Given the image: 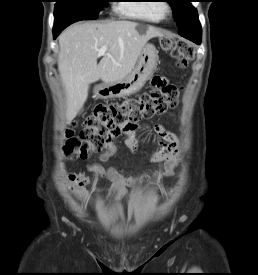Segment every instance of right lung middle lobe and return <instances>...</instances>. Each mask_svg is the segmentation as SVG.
<instances>
[{
	"instance_id": "dd1d6c3e",
	"label": "right lung middle lobe",
	"mask_w": 258,
	"mask_h": 275,
	"mask_svg": "<svg viewBox=\"0 0 258 275\" xmlns=\"http://www.w3.org/2000/svg\"><path fill=\"white\" fill-rule=\"evenodd\" d=\"M109 0H57L54 20L97 19L99 12L107 6Z\"/></svg>"
}]
</instances>
